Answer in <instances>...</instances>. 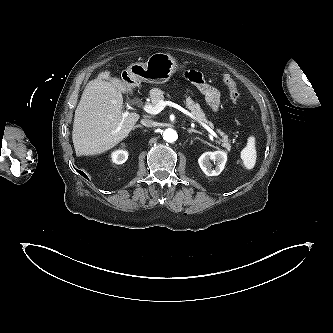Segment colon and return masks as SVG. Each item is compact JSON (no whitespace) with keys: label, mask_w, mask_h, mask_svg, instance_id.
I'll return each instance as SVG.
<instances>
[{"label":"colon","mask_w":333,"mask_h":333,"mask_svg":"<svg viewBox=\"0 0 333 333\" xmlns=\"http://www.w3.org/2000/svg\"><path fill=\"white\" fill-rule=\"evenodd\" d=\"M222 80H223V83L228 88L229 96H230L231 100L233 101V103L237 104L240 100V94L238 92L236 82L229 75H224Z\"/></svg>","instance_id":"obj_1"}]
</instances>
